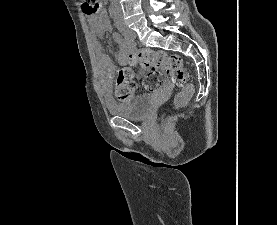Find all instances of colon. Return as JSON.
<instances>
[{"instance_id":"obj_1","label":"colon","mask_w":277,"mask_h":225,"mask_svg":"<svg viewBox=\"0 0 277 225\" xmlns=\"http://www.w3.org/2000/svg\"><path fill=\"white\" fill-rule=\"evenodd\" d=\"M82 9L86 14H96L100 10V5L97 0H83ZM129 63L132 66L151 69L143 83L144 90L148 92L159 90L165 82V76L170 75L179 87V92L174 99L175 109L183 108L192 96L194 89L188 82V72L179 55H168L161 51L142 49L130 56ZM136 89L132 69L130 67L120 68L115 85L116 99L120 102L130 101L134 97Z\"/></svg>"}]
</instances>
